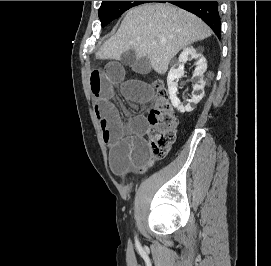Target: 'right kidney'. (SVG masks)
Here are the masks:
<instances>
[{
    "label": "right kidney",
    "instance_id": "obj_1",
    "mask_svg": "<svg viewBox=\"0 0 271 266\" xmlns=\"http://www.w3.org/2000/svg\"><path fill=\"white\" fill-rule=\"evenodd\" d=\"M196 59V68L193 73V78L195 80V84L193 85V92L191 99L187 100V104L183 105L179 98L177 97V87L178 80L184 75L183 65L190 59ZM179 64L174 65L167 76V85L169 91V98L171 100L172 105L177 108L180 112H191L194 110L196 104L200 102V100L204 96V86L205 82L203 80V74L207 69L206 59L202 54L197 53V51L193 47L185 48L178 59Z\"/></svg>",
    "mask_w": 271,
    "mask_h": 266
}]
</instances>
